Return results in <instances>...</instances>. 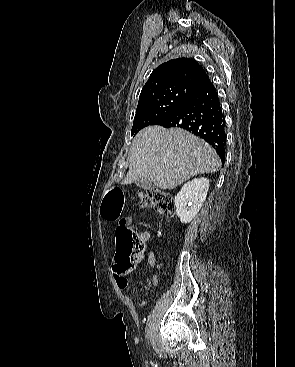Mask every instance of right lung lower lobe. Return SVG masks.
Wrapping results in <instances>:
<instances>
[{"label": "right lung lower lobe", "mask_w": 295, "mask_h": 367, "mask_svg": "<svg viewBox=\"0 0 295 367\" xmlns=\"http://www.w3.org/2000/svg\"><path fill=\"white\" fill-rule=\"evenodd\" d=\"M157 125L166 128L180 127L204 139L216 150L224 163L225 119L218 94L211 82L196 90Z\"/></svg>", "instance_id": "right-lung-lower-lobe-1"}]
</instances>
